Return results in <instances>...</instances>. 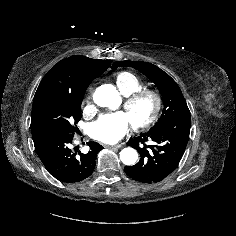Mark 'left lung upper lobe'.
Returning <instances> with one entry per match:
<instances>
[{"label": "left lung upper lobe", "instance_id": "5c2ea615", "mask_svg": "<svg viewBox=\"0 0 236 236\" xmlns=\"http://www.w3.org/2000/svg\"><path fill=\"white\" fill-rule=\"evenodd\" d=\"M119 66L133 67L143 73L155 83L162 94L164 108L162 115L154 127L150 130H158L171 120L190 117V111L181 89L176 82L163 70L148 62L116 61L112 68Z\"/></svg>", "mask_w": 236, "mask_h": 236}]
</instances>
